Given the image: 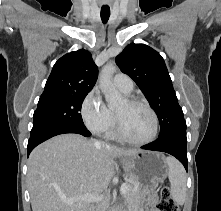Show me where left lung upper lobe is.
I'll list each match as a JSON object with an SVG mask.
<instances>
[{"label":"left lung upper lobe","instance_id":"left-lung-upper-lobe-1","mask_svg":"<svg viewBox=\"0 0 221 211\" xmlns=\"http://www.w3.org/2000/svg\"><path fill=\"white\" fill-rule=\"evenodd\" d=\"M121 71L129 75L146 96L160 122L159 138L186 131L182 108L162 56L145 44H129L116 57Z\"/></svg>","mask_w":221,"mask_h":211}]
</instances>
